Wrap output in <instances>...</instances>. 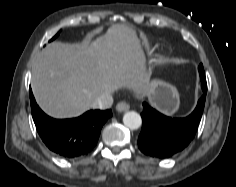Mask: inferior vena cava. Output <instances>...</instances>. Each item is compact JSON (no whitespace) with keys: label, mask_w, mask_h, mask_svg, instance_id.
<instances>
[{"label":"inferior vena cava","mask_w":236,"mask_h":187,"mask_svg":"<svg viewBox=\"0 0 236 187\" xmlns=\"http://www.w3.org/2000/svg\"><path fill=\"white\" fill-rule=\"evenodd\" d=\"M113 104V97L111 94H102L94 102L91 103L93 109H108Z\"/></svg>","instance_id":"inferior-vena-cava-1"}]
</instances>
